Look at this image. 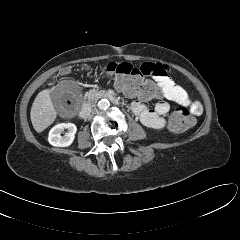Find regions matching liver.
I'll use <instances>...</instances> for the list:
<instances>
[{"label":"liver","instance_id":"obj_1","mask_svg":"<svg viewBox=\"0 0 240 240\" xmlns=\"http://www.w3.org/2000/svg\"><path fill=\"white\" fill-rule=\"evenodd\" d=\"M57 112L50 97V90H43L36 96L30 112L32 125L38 133L50 126L56 119Z\"/></svg>","mask_w":240,"mask_h":240}]
</instances>
